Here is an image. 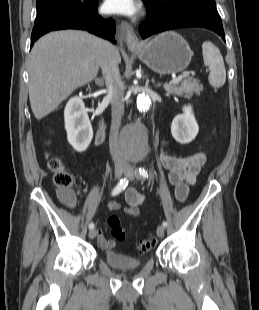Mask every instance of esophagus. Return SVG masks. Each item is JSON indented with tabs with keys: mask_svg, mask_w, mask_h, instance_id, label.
<instances>
[{
	"mask_svg": "<svg viewBox=\"0 0 259 310\" xmlns=\"http://www.w3.org/2000/svg\"><path fill=\"white\" fill-rule=\"evenodd\" d=\"M118 32L120 39L127 45L129 49H137L140 47L139 39L133 27L128 22H120Z\"/></svg>",
	"mask_w": 259,
	"mask_h": 310,
	"instance_id": "esophagus-1",
	"label": "esophagus"
}]
</instances>
